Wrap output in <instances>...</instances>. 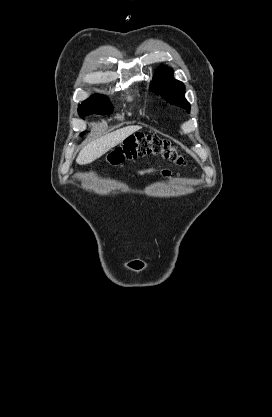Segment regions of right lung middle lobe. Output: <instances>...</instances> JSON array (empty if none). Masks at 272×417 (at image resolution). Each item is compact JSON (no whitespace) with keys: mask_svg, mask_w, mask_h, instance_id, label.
Segmentation results:
<instances>
[{"mask_svg":"<svg viewBox=\"0 0 272 417\" xmlns=\"http://www.w3.org/2000/svg\"><path fill=\"white\" fill-rule=\"evenodd\" d=\"M113 111V107L107 97L94 95L79 105L78 112L81 117L90 113L109 114ZM84 134V133H82Z\"/></svg>","mask_w":272,"mask_h":417,"instance_id":"1","label":"right lung middle lobe"}]
</instances>
